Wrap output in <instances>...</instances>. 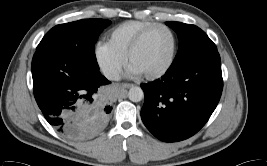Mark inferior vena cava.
<instances>
[{
  "label": "inferior vena cava",
  "mask_w": 267,
  "mask_h": 166,
  "mask_svg": "<svg viewBox=\"0 0 267 166\" xmlns=\"http://www.w3.org/2000/svg\"><path fill=\"white\" fill-rule=\"evenodd\" d=\"M105 75L109 80H119L120 79L119 72L117 70H114V69L106 71Z\"/></svg>",
  "instance_id": "inferior-vena-cava-1"
}]
</instances>
